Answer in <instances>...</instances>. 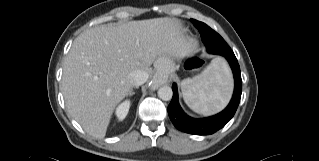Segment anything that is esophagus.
I'll list each match as a JSON object with an SVG mask.
<instances>
[{
  "mask_svg": "<svg viewBox=\"0 0 319 161\" xmlns=\"http://www.w3.org/2000/svg\"><path fill=\"white\" fill-rule=\"evenodd\" d=\"M158 86H159L158 82H154V83L152 84V88H158Z\"/></svg>",
  "mask_w": 319,
  "mask_h": 161,
  "instance_id": "34e87169",
  "label": "esophagus"
}]
</instances>
